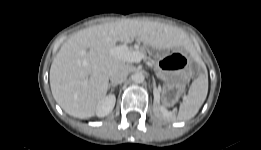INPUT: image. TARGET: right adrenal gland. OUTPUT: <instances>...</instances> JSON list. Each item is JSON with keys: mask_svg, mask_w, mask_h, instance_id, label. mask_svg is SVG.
Listing matches in <instances>:
<instances>
[{"mask_svg": "<svg viewBox=\"0 0 261 150\" xmlns=\"http://www.w3.org/2000/svg\"><path fill=\"white\" fill-rule=\"evenodd\" d=\"M118 84H116V83H110L109 84V86H108V88L110 89V88H112V87H116Z\"/></svg>", "mask_w": 261, "mask_h": 150, "instance_id": "right-adrenal-gland-1", "label": "right adrenal gland"}]
</instances>
